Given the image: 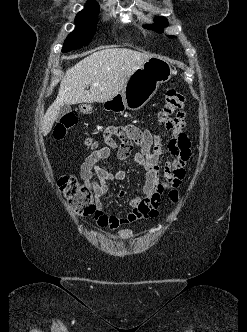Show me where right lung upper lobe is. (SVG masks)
Here are the masks:
<instances>
[{
    "label": "right lung upper lobe",
    "instance_id": "cb5924a9",
    "mask_svg": "<svg viewBox=\"0 0 247 332\" xmlns=\"http://www.w3.org/2000/svg\"><path fill=\"white\" fill-rule=\"evenodd\" d=\"M99 7L98 3H96L95 0H88V2L85 5L84 10H88V9H93V8H97Z\"/></svg>",
    "mask_w": 247,
    "mask_h": 332
}]
</instances>
